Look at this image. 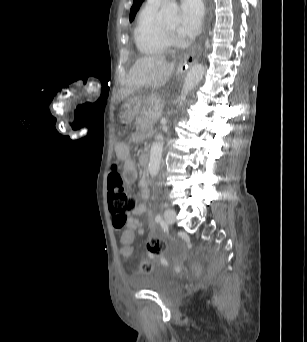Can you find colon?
<instances>
[{
    "mask_svg": "<svg viewBox=\"0 0 307 342\" xmlns=\"http://www.w3.org/2000/svg\"><path fill=\"white\" fill-rule=\"evenodd\" d=\"M108 201L113 216V225L116 229H122L127 221V216L136 208L135 200L130 197L124 188L123 179L117 167H113L108 176ZM134 232L130 226H127L124 235H119V245L121 254L133 253ZM167 249V243L158 238H152L146 243V250L152 257H158ZM153 269L151 260L143 261L138 267L139 274H148ZM193 273L196 276H201L203 266H193Z\"/></svg>",
    "mask_w": 307,
    "mask_h": 342,
    "instance_id": "1",
    "label": "colon"
}]
</instances>
